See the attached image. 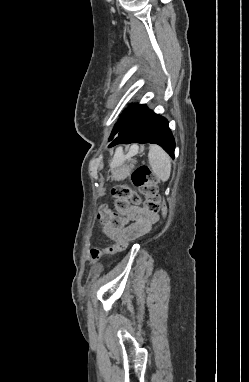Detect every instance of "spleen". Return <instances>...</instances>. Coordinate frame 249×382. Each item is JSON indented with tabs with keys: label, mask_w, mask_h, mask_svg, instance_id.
Here are the masks:
<instances>
[{
	"label": "spleen",
	"mask_w": 249,
	"mask_h": 382,
	"mask_svg": "<svg viewBox=\"0 0 249 382\" xmlns=\"http://www.w3.org/2000/svg\"><path fill=\"white\" fill-rule=\"evenodd\" d=\"M148 159L153 173L162 181H167L171 174V159L158 145H151Z\"/></svg>",
	"instance_id": "3e777b00"
}]
</instances>
